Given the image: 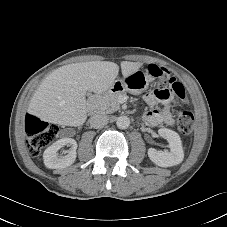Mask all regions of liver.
I'll return each instance as SVG.
<instances>
[{"label":"liver","mask_w":227,"mask_h":227,"mask_svg":"<svg viewBox=\"0 0 227 227\" xmlns=\"http://www.w3.org/2000/svg\"><path fill=\"white\" fill-rule=\"evenodd\" d=\"M141 62H121L123 77L139 70ZM119 66L110 61L64 65L49 74L32 96L28 112L42 121L81 126L87 119L86 92L101 94L114 84Z\"/></svg>","instance_id":"liver-1"}]
</instances>
